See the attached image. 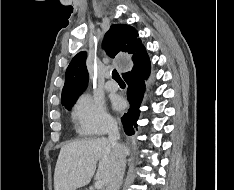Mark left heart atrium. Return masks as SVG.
Instances as JSON below:
<instances>
[{
    "instance_id": "1",
    "label": "left heart atrium",
    "mask_w": 234,
    "mask_h": 190,
    "mask_svg": "<svg viewBox=\"0 0 234 190\" xmlns=\"http://www.w3.org/2000/svg\"><path fill=\"white\" fill-rule=\"evenodd\" d=\"M114 107L119 109L122 107V101L120 99H115L114 100Z\"/></svg>"
}]
</instances>
